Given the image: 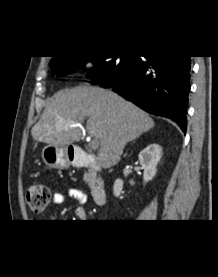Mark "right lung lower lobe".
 <instances>
[{
  "instance_id": "right-lung-lower-lobe-1",
  "label": "right lung lower lobe",
  "mask_w": 218,
  "mask_h": 277,
  "mask_svg": "<svg viewBox=\"0 0 218 277\" xmlns=\"http://www.w3.org/2000/svg\"><path fill=\"white\" fill-rule=\"evenodd\" d=\"M142 57H138L116 82L97 83L111 87L149 113L172 119L185 132L190 90V56Z\"/></svg>"
}]
</instances>
